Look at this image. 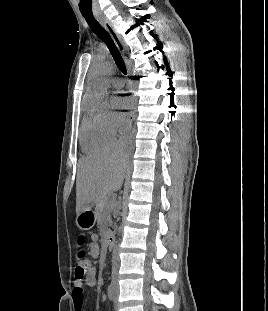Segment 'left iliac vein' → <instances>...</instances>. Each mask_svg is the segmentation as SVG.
I'll use <instances>...</instances> for the list:
<instances>
[{
    "mask_svg": "<svg viewBox=\"0 0 268 311\" xmlns=\"http://www.w3.org/2000/svg\"><path fill=\"white\" fill-rule=\"evenodd\" d=\"M118 286L115 284V288H114V309L116 311H118Z\"/></svg>",
    "mask_w": 268,
    "mask_h": 311,
    "instance_id": "1",
    "label": "left iliac vein"
}]
</instances>
